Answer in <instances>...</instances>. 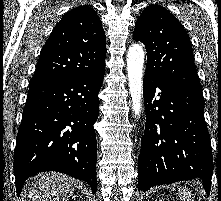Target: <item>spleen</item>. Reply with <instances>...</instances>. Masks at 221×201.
<instances>
[{
  "label": "spleen",
  "mask_w": 221,
  "mask_h": 201,
  "mask_svg": "<svg viewBox=\"0 0 221 201\" xmlns=\"http://www.w3.org/2000/svg\"><path fill=\"white\" fill-rule=\"evenodd\" d=\"M178 194L183 201H193L191 191L187 189H179Z\"/></svg>",
  "instance_id": "spleen-1"
}]
</instances>
